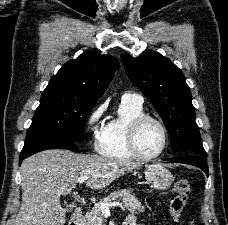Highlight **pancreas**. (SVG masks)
Listing matches in <instances>:
<instances>
[{
    "label": "pancreas",
    "mask_w": 228,
    "mask_h": 225,
    "mask_svg": "<svg viewBox=\"0 0 228 225\" xmlns=\"http://www.w3.org/2000/svg\"><path fill=\"white\" fill-rule=\"evenodd\" d=\"M117 199H120L123 203V207H126L133 215H138V213H143V211H145V207H142L133 193H129L126 189H122V191H114L109 197L101 199L99 205H95L90 213H86L83 225H104L105 219H103L101 213L100 203H112V201H117Z\"/></svg>",
    "instance_id": "pancreas-1"
}]
</instances>
